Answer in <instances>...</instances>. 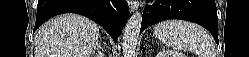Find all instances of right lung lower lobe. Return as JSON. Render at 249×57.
<instances>
[{"mask_svg":"<svg viewBox=\"0 0 249 57\" xmlns=\"http://www.w3.org/2000/svg\"><path fill=\"white\" fill-rule=\"evenodd\" d=\"M68 12L84 15L97 22L115 43L129 17L125 0H39L34 31L51 17Z\"/></svg>","mask_w":249,"mask_h":57,"instance_id":"right-lung-lower-lobe-1","label":"right lung lower lobe"}]
</instances>
